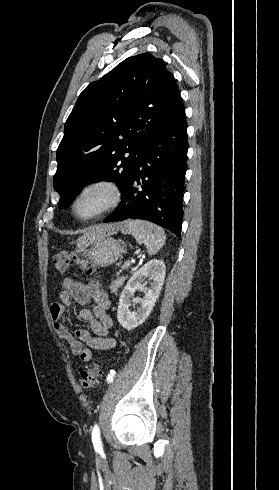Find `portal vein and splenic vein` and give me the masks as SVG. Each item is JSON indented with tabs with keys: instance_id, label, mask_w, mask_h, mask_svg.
Masks as SVG:
<instances>
[{
	"instance_id": "1",
	"label": "portal vein and splenic vein",
	"mask_w": 279,
	"mask_h": 490,
	"mask_svg": "<svg viewBox=\"0 0 279 490\" xmlns=\"http://www.w3.org/2000/svg\"><path fill=\"white\" fill-rule=\"evenodd\" d=\"M131 266L130 260H127V262H124V268H129Z\"/></svg>"
}]
</instances>
